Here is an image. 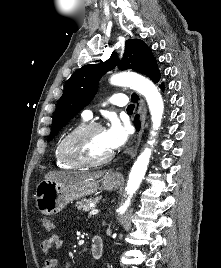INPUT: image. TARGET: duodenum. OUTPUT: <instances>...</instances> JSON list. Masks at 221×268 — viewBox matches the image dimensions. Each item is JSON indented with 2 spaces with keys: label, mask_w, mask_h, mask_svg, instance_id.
Returning a JSON list of instances; mask_svg holds the SVG:
<instances>
[{
  "label": "duodenum",
  "mask_w": 221,
  "mask_h": 268,
  "mask_svg": "<svg viewBox=\"0 0 221 268\" xmlns=\"http://www.w3.org/2000/svg\"><path fill=\"white\" fill-rule=\"evenodd\" d=\"M104 253V242L100 235H95L91 241V255L95 259H100Z\"/></svg>",
  "instance_id": "410a0bca"
}]
</instances>
